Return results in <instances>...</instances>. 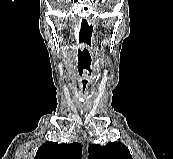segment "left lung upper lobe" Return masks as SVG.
Instances as JSON below:
<instances>
[{"mask_svg":"<svg viewBox=\"0 0 173 159\" xmlns=\"http://www.w3.org/2000/svg\"><path fill=\"white\" fill-rule=\"evenodd\" d=\"M88 151L89 159H132L128 148L121 142H110L105 146L93 144Z\"/></svg>","mask_w":173,"mask_h":159,"instance_id":"5c2ea615","label":"left lung upper lobe"}]
</instances>
